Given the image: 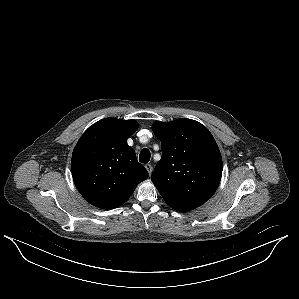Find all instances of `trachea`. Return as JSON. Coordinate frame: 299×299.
I'll use <instances>...</instances> for the list:
<instances>
[{
	"mask_svg": "<svg viewBox=\"0 0 299 299\" xmlns=\"http://www.w3.org/2000/svg\"><path fill=\"white\" fill-rule=\"evenodd\" d=\"M151 157V153L148 149H143L139 155V161L141 163H148Z\"/></svg>",
	"mask_w": 299,
	"mask_h": 299,
	"instance_id": "3493384b",
	"label": "trachea"
}]
</instances>
